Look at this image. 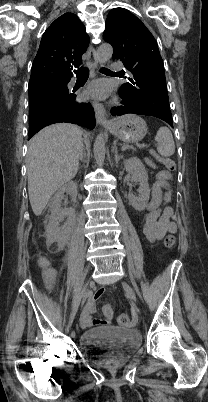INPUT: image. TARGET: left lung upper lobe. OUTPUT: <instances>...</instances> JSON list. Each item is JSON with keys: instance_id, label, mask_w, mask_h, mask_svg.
<instances>
[{"instance_id": "left-lung-upper-lobe-1", "label": "left lung upper lobe", "mask_w": 208, "mask_h": 402, "mask_svg": "<svg viewBox=\"0 0 208 402\" xmlns=\"http://www.w3.org/2000/svg\"><path fill=\"white\" fill-rule=\"evenodd\" d=\"M105 41L113 46V60L131 72L121 90L138 102L169 108L164 64L157 42L142 21L124 8L112 9L106 19Z\"/></svg>"}]
</instances>
